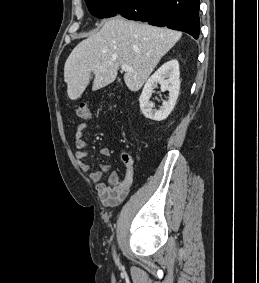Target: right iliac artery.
<instances>
[{
	"instance_id": "obj_1",
	"label": "right iliac artery",
	"mask_w": 259,
	"mask_h": 283,
	"mask_svg": "<svg viewBox=\"0 0 259 283\" xmlns=\"http://www.w3.org/2000/svg\"><path fill=\"white\" fill-rule=\"evenodd\" d=\"M114 258H115V260H116V262H117L118 260L116 259L115 252H114Z\"/></svg>"
}]
</instances>
